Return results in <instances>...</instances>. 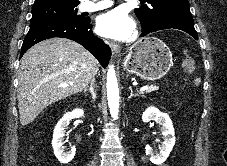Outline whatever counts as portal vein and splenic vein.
<instances>
[{
    "label": "portal vein and splenic vein",
    "instance_id": "portal-vein-and-splenic-vein-1",
    "mask_svg": "<svg viewBox=\"0 0 227 166\" xmlns=\"http://www.w3.org/2000/svg\"><path fill=\"white\" fill-rule=\"evenodd\" d=\"M65 86H68L67 84ZM149 90V87L148 86H143L141 87L140 91H148Z\"/></svg>",
    "mask_w": 227,
    "mask_h": 166
}]
</instances>
